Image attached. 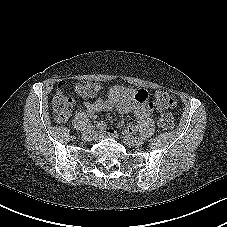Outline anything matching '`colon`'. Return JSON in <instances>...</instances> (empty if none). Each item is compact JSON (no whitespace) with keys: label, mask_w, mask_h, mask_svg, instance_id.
<instances>
[{"label":"colon","mask_w":227,"mask_h":227,"mask_svg":"<svg viewBox=\"0 0 227 227\" xmlns=\"http://www.w3.org/2000/svg\"><path fill=\"white\" fill-rule=\"evenodd\" d=\"M101 85L95 81H81L74 90L75 92L84 98H93L100 91ZM156 105L167 111L159 120V127L162 130H168L173 125L172 115L168 110L172 109L176 102L173 96L165 90H158L155 92ZM74 100L70 95L65 94L62 90H59L53 99V114L56 122L63 124L67 122L72 113V107Z\"/></svg>","instance_id":"obj_1"}]
</instances>
